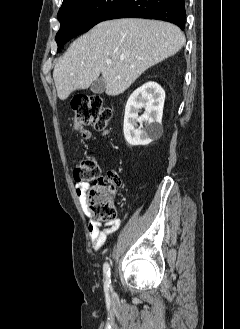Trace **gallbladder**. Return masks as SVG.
<instances>
[{
    "instance_id": "bac80fb5",
    "label": "gallbladder",
    "mask_w": 240,
    "mask_h": 329,
    "mask_svg": "<svg viewBox=\"0 0 240 329\" xmlns=\"http://www.w3.org/2000/svg\"><path fill=\"white\" fill-rule=\"evenodd\" d=\"M105 89H106V82L103 78H98L90 86V90L96 94L103 93Z\"/></svg>"
}]
</instances>
